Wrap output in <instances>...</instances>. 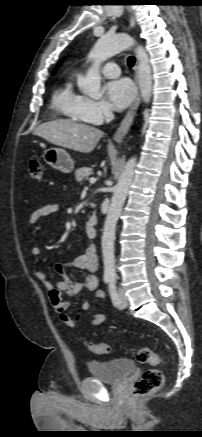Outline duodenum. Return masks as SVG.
Listing matches in <instances>:
<instances>
[{
	"instance_id": "duodenum-1",
	"label": "duodenum",
	"mask_w": 202,
	"mask_h": 437,
	"mask_svg": "<svg viewBox=\"0 0 202 437\" xmlns=\"http://www.w3.org/2000/svg\"><path fill=\"white\" fill-rule=\"evenodd\" d=\"M85 231L88 237L95 238L97 236V216L92 214L85 226Z\"/></svg>"
}]
</instances>
